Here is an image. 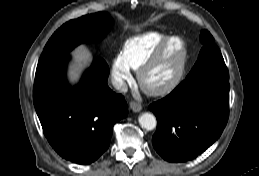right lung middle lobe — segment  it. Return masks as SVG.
I'll return each instance as SVG.
<instances>
[{
    "label": "right lung middle lobe",
    "mask_w": 259,
    "mask_h": 176,
    "mask_svg": "<svg viewBox=\"0 0 259 176\" xmlns=\"http://www.w3.org/2000/svg\"><path fill=\"white\" fill-rule=\"evenodd\" d=\"M111 22L107 13L99 12L65 23L51 36L38 63L50 60L59 54L68 53L80 43L103 38Z\"/></svg>",
    "instance_id": "obj_1"
}]
</instances>
